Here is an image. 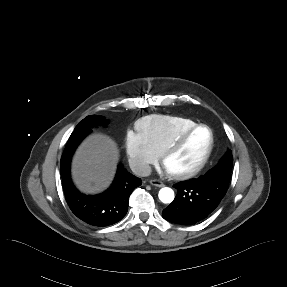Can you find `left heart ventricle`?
<instances>
[{"label": "left heart ventricle", "instance_id": "1", "mask_svg": "<svg viewBox=\"0 0 287 287\" xmlns=\"http://www.w3.org/2000/svg\"><path fill=\"white\" fill-rule=\"evenodd\" d=\"M210 142L209 131L205 128L196 130L165 162L169 172H182L192 169L205 154Z\"/></svg>", "mask_w": 287, "mask_h": 287}]
</instances>
